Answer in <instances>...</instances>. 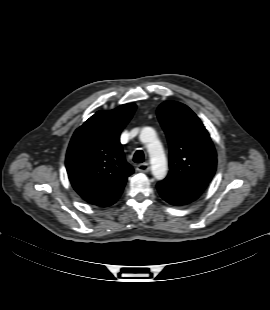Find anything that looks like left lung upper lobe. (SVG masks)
<instances>
[{
	"label": "left lung upper lobe",
	"instance_id": "left-lung-upper-lobe-1",
	"mask_svg": "<svg viewBox=\"0 0 270 310\" xmlns=\"http://www.w3.org/2000/svg\"><path fill=\"white\" fill-rule=\"evenodd\" d=\"M170 148V171L164 181L204 190L216 171L217 158L209 133L186 105L166 101L157 109Z\"/></svg>",
	"mask_w": 270,
	"mask_h": 310
}]
</instances>
